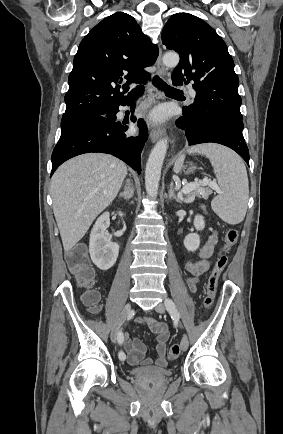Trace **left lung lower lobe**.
Masks as SVG:
<instances>
[{
  "mask_svg": "<svg viewBox=\"0 0 283 434\" xmlns=\"http://www.w3.org/2000/svg\"><path fill=\"white\" fill-rule=\"evenodd\" d=\"M176 124L185 131L189 145L207 142L222 144L237 152L249 165V151L242 134L241 119L221 112H207L197 120L183 115Z\"/></svg>",
  "mask_w": 283,
  "mask_h": 434,
  "instance_id": "left-lung-lower-lobe-1",
  "label": "left lung lower lobe"
}]
</instances>
